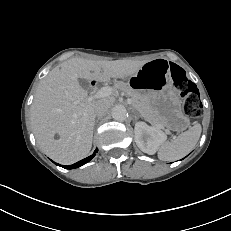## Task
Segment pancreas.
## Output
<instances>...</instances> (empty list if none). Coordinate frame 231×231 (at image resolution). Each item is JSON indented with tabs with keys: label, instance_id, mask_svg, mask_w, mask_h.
Here are the masks:
<instances>
[{
	"label": "pancreas",
	"instance_id": "obj_1",
	"mask_svg": "<svg viewBox=\"0 0 231 231\" xmlns=\"http://www.w3.org/2000/svg\"><path fill=\"white\" fill-rule=\"evenodd\" d=\"M115 88L126 93L130 97L132 105L140 112L146 121L156 126H162L157 114L152 109L147 98L127 86V84L124 82H116Z\"/></svg>",
	"mask_w": 231,
	"mask_h": 231
}]
</instances>
